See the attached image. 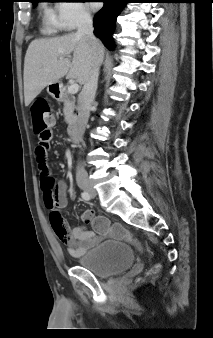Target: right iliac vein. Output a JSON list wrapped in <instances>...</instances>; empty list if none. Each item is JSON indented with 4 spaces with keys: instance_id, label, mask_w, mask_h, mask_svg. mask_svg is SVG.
Returning a JSON list of instances; mask_svg holds the SVG:
<instances>
[{
    "instance_id": "obj_1",
    "label": "right iliac vein",
    "mask_w": 213,
    "mask_h": 338,
    "mask_svg": "<svg viewBox=\"0 0 213 338\" xmlns=\"http://www.w3.org/2000/svg\"><path fill=\"white\" fill-rule=\"evenodd\" d=\"M80 187L85 192H89V193H93L94 192V189H93L92 185H90V184H81Z\"/></svg>"
}]
</instances>
